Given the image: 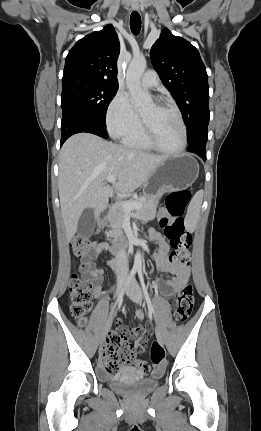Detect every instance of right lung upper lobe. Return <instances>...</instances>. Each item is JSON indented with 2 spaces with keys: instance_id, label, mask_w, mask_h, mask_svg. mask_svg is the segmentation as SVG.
Masks as SVG:
<instances>
[{
  "instance_id": "cb5924a9",
  "label": "right lung upper lobe",
  "mask_w": 261,
  "mask_h": 431,
  "mask_svg": "<svg viewBox=\"0 0 261 431\" xmlns=\"http://www.w3.org/2000/svg\"><path fill=\"white\" fill-rule=\"evenodd\" d=\"M120 52L118 36L112 25L80 39L69 51L62 79L75 76L118 87L117 58Z\"/></svg>"
}]
</instances>
